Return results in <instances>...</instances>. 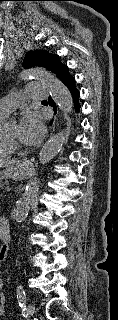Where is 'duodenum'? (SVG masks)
<instances>
[{
	"label": "duodenum",
	"instance_id": "obj_1",
	"mask_svg": "<svg viewBox=\"0 0 118 320\" xmlns=\"http://www.w3.org/2000/svg\"><path fill=\"white\" fill-rule=\"evenodd\" d=\"M0 239L4 242L5 245L8 244L10 239L9 222L8 219L4 216H0Z\"/></svg>",
	"mask_w": 118,
	"mask_h": 320
}]
</instances>
